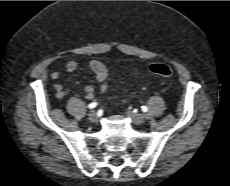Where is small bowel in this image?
Masks as SVG:
<instances>
[{
	"label": "small bowel",
	"mask_w": 230,
	"mask_h": 186,
	"mask_svg": "<svg viewBox=\"0 0 230 186\" xmlns=\"http://www.w3.org/2000/svg\"><path fill=\"white\" fill-rule=\"evenodd\" d=\"M78 67H79V63L77 61L72 60L67 62L65 66V70L68 73H72L76 71ZM89 67L95 75L96 83L98 85H101L102 88L104 89L106 86L105 83L108 79V70L105 64L99 60H91L89 63ZM59 77H60L59 71H53L51 73V78L53 80H58ZM54 89L57 98H63L68 93V90L64 88V86L61 83L58 82L54 84ZM95 92H96V87L94 85L90 84L84 87V94L87 99H92L95 95Z\"/></svg>",
	"instance_id": "small-bowel-1"
}]
</instances>
